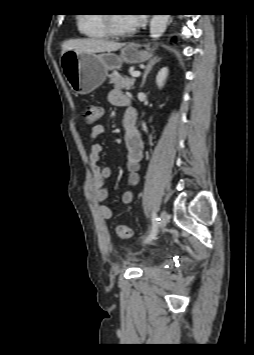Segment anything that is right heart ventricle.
Instances as JSON below:
<instances>
[{"mask_svg": "<svg viewBox=\"0 0 254 355\" xmlns=\"http://www.w3.org/2000/svg\"><path fill=\"white\" fill-rule=\"evenodd\" d=\"M78 29L81 34L92 39H104L108 33L104 24V13H84L77 19Z\"/></svg>", "mask_w": 254, "mask_h": 355, "instance_id": "obj_1", "label": "right heart ventricle"}]
</instances>
